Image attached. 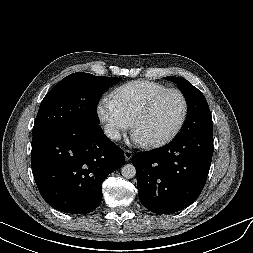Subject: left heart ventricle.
Segmentation results:
<instances>
[{"label": "left heart ventricle", "mask_w": 253, "mask_h": 253, "mask_svg": "<svg viewBox=\"0 0 253 253\" xmlns=\"http://www.w3.org/2000/svg\"><path fill=\"white\" fill-rule=\"evenodd\" d=\"M183 112V102L176 93L162 97L136 132L147 142L160 140L177 126Z\"/></svg>", "instance_id": "obj_1"}]
</instances>
